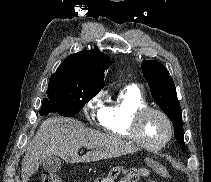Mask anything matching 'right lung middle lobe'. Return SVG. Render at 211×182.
<instances>
[{
    "label": "right lung middle lobe",
    "instance_id": "1",
    "mask_svg": "<svg viewBox=\"0 0 211 182\" xmlns=\"http://www.w3.org/2000/svg\"><path fill=\"white\" fill-rule=\"evenodd\" d=\"M102 88L75 81L67 76L52 75L49 79L47 98L43 99L40 115L50 112L65 117L75 115Z\"/></svg>",
    "mask_w": 211,
    "mask_h": 182
}]
</instances>
